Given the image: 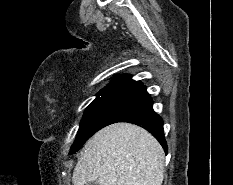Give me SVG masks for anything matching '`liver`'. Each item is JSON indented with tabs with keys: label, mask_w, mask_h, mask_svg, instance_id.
<instances>
[{
	"label": "liver",
	"mask_w": 233,
	"mask_h": 185,
	"mask_svg": "<svg viewBox=\"0 0 233 185\" xmlns=\"http://www.w3.org/2000/svg\"><path fill=\"white\" fill-rule=\"evenodd\" d=\"M164 151L145 129L130 123L109 125L90 138L78 158L72 181L84 185H161Z\"/></svg>",
	"instance_id": "1"
}]
</instances>
